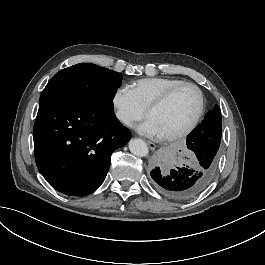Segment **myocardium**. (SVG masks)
<instances>
[{
  "mask_svg": "<svg viewBox=\"0 0 265 265\" xmlns=\"http://www.w3.org/2000/svg\"><path fill=\"white\" fill-rule=\"evenodd\" d=\"M185 88L194 89L198 95L199 104H198L197 113L194 116L193 120L184 129H182L181 131H179L177 133L164 136L163 139L165 141H175L178 139L185 138L197 127V125L201 121V119L204 115V111H205V97H204L203 91L201 90V88L198 85H196L192 82H184V83L172 88L171 90H169L160 99H158L154 104H152L147 110V116H149L150 113H152L156 110H159V109L163 108L164 106H166L171 101V99L173 97H175L181 90H183Z\"/></svg>",
  "mask_w": 265,
  "mask_h": 265,
  "instance_id": "myocardium-1",
  "label": "myocardium"
}]
</instances>
